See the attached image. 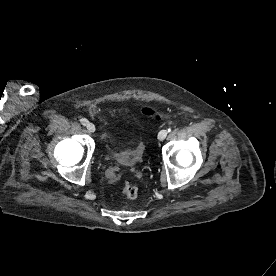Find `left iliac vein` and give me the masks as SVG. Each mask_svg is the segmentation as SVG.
<instances>
[{
  "mask_svg": "<svg viewBox=\"0 0 276 276\" xmlns=\"http://www.w3.org/2000/svg\"><path fill=\"white\" fill-rule=\"evenodd\" d=\"M168 134V131L167 130H161L159 133H158V139L159 140H164L166 138Z\"/></svg>",
  "mask_w": 276,
  "mask_h": 276,
  "instance_id": "1",
  "label": "left iliac vein"
}]
</instances>
